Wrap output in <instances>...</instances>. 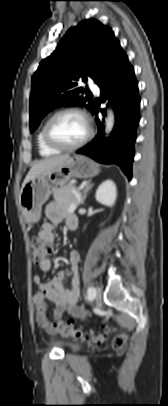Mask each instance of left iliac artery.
I'll list each match as a JSON object with an SVG mask.
<instances>
[{
    "mask_svg": "<svg viewBox=\"0 0 168 406\" xmlns=\"http://www.w3.org/2000/svg\"><path fill=\"white\" fill-rule=\"evenodd\" d=\"M94 296H95V288L89 287L87 290V299L92 300L94 299Z\"/></svg>",
    "mask_w": 168,
    "mask_h": 406,
    "instance_id": "1",
    "label": "left iliac artery"
}]
</instances>
